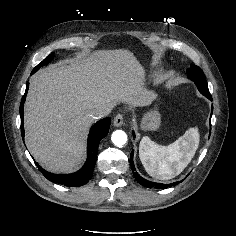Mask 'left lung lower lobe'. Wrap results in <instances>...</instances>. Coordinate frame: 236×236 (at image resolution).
Instances as JSON below:
<instances>
[{"label": "left lung lower lobe", "instance_id": "obj_1", "mask_svg": "<svg viewBox=\"0 0 236 236\" xmlns=\"http://www.w3.org/2000/svg\"><path fill=\"white\" fill-rule=\"evenodd\" d=\"M208 99L212 100V97H208ZM212 109H213V107H212ZM130 164H131V168H132L133 175H134L135 179L138 181V183H140L141 185H143L145 187L164 189V188H168V187H171V186L179 183V182H174V183H170V184H161V183L151 182V181H148V180L142 178L135 170V166L133 163V151L131 152Z\"/></svg>", "mask_w": 236, "mask_h": 236}]
</instances>
